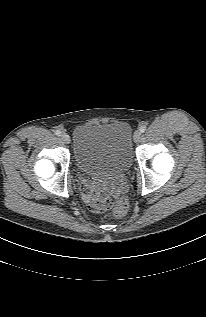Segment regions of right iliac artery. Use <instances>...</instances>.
I'll list each match as a JSON object with an SVG mask.
<instances>
[{
    "mask_svg": "<svg viewBox=\"0 0 206 317\" xmlns=\"http://www.w3.org/2000/svg\"><path fill=\"white\" fill-rule=\"evenodd\" d=\"M55 134L58 135V136H60V135H61V131H60V130H56V131H55Z\"/></svg>",
    "mask_w": 206,
    "mask_h": 317,
    "instance_id": "right-iliac-artery-1",
    "label": "right iliac artery"
}]
</instances>
